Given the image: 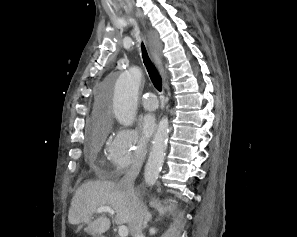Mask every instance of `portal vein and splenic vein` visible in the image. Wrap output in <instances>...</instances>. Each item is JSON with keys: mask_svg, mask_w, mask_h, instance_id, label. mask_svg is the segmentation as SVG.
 <instances>
[{"mask_svg": "<svg viewBox=\"0 0 297 237\" xmlns=\"http://www.w3.org/2000/svg\"><path fill=\"white\" fill-rule=\"evenodd\" d=\"M103 212H107L110 215L115 214L114 210L112 208H110L109 206H102L95 211V213H98V214L103 213ZM118 234L120 237H127L129 234V230H128L127 226L121 225L119 227Z\"/></svg>", "mask_w": 297, "mask_h": 237, "instance_id": "18ae733b", "label": "portal vein and splenic vein"}]
</instances>
